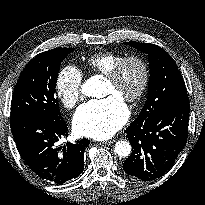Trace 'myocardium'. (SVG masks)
<instances>
[{
	"label": "myocardium",
	"instance_id": "obj_1",
	"mask_svg": "<svg viewBox=\"0 0 205 205\" xmlns=\"http://www.w3.org/2000/svg\"><path fill=\"white\" fill-rule=\"evenodd\" d=\"M130 62H136L140 65L142 70V80L138 90L133 95L125 98L124 101L127 103H136L140 101L146 93L150 82V68L145 58L135 54L125 56L114 66V68L107 75H105V78L111 84L116 85L121 79L125 66Z\"/></svg>",
	"mask_w": 205,
	"mask_h": 205
}]
</instances>
